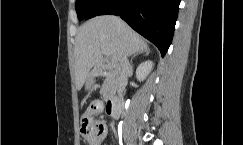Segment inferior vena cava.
Returning a JSON list of instances; mask_svg holds the SVG:
<instances>
[{"instance_id": "1", "label": "inferior vena cava", "mask_w": 243, "mask_h": 145, "mask_svg": "<svg viewBox=\"0 0 243 145\" xmlns=\"http://www.w3.org/2000/svg\"><path fill=\"white\" fill-rule=\"evenodd\" d=\"M132 69L130 62L127 57L124 56L120 61V74L118 77V91L122 93L128 82V72Z\"/></svg>"}]
</instances>
